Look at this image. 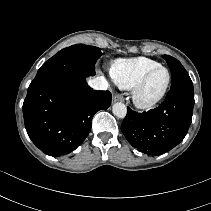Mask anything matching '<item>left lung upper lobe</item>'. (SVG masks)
Listing matches in <instances>:
<instances>
[{"instance_id":"5c2ea615","label":"left lung upper lobe","mask_w":211,"mask_h":211,"mask_svg":"<svg viewBox=\"0 0 211 211\" xmlns=\"http://www.w3.org/2000/svg\"><path fill=\"white\" fill-rule=\"evenodd\" d=\"M163 58L166 60L172 75V83H171V89H189L193 90V84L192 81L184 69V67L181 65V63L169 56V55H163Z\"/></svg>"}]
</instances>
